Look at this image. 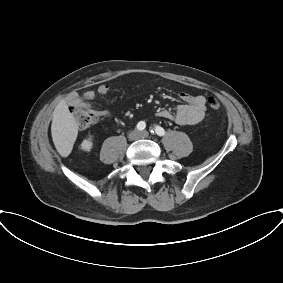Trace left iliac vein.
I'll list each match as a JSON object with an SVG mask.
<instances>
[{"label": "left iliac vein", "mask_w": 283, "mask_h": 283, "mask_svg": "<svg viewBox=\"0 0 283 283\" xmlns=\"http://www.w3.org/2000/svg\"><path fill=\"white\" fill-rule=\"evenodd\" d=\"M148 136H149V133H148L147 131H142V132L140 133V137H141V138H148Z\"/></svg>", "instance_id": "4c4485c4"}]
</instances>
